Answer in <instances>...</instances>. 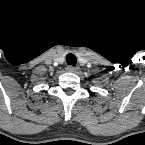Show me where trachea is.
<instances>
[{
  "mask_svg": "<svg viewBox=\"0 0 145 145\" xmlns=\"http://www.w3.org/2000/svg\"><path fill=\"white\" fill-rule=\"evenodd\" d=\"M66 62H67L68 65L75 66L76 63H77V58H76V56L74 54L69 53L66 56Z\"/></svg>",
  "mask_w": 145,
  "mask_h": 145,
  "instance_id": "3493384b",
  "label": "trachea"
}]
</instances>
